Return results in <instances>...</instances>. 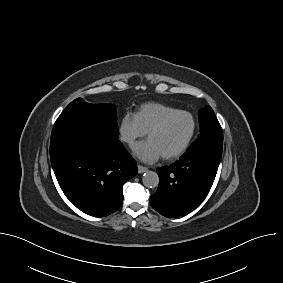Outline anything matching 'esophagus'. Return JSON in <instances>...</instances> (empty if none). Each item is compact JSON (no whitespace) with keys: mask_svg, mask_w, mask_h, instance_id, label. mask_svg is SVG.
<instances>
[{"mask_svg":"<svg viewBox=\"0 0 283 283\" xmlns=\"http://www.w3.org/2000/svg\"><path fill=\"white\" fill-rule=\"evenodd\" d=\"M137 168H138V173H144L147 171V167H144L142 165H138Z\"/></svg>","mask_w":283,"mask_h":283,"instance_id":"obj_1","label":"esophagus"}]
</instances>
